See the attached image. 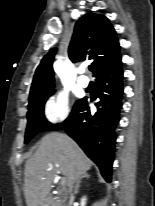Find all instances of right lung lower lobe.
<instances>
[{"label": "right lung lower lobe", "mask_w": 155, "mask_h": 206, "mask_svg": "<svg viewBox=\"0 0 155 206\" xmlns=\"http://www.w3.org/2000/svg\"><path fill=\"white\" fill-rule=\"evenodd\" d=\"M123 71L121 58L112 68L96 78L98 111L91 114L86 98L79 100L71 115L52 130H66L84 152L98 165L107 182L111 181V170L115 146V127L119 122L122 107Z\"/></svg>", "instance_id": "98d812e1"}]
</instances>
